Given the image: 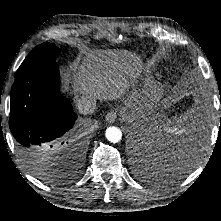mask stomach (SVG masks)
Instances as JSON below:
<instances>
[{
    "label": "stomach",
    "instance_id": "obj_1",
    "mask_svg": "<svg viewBox=\"0 0 221 221\" xmlns=\"http://www.w3.org/2000/svg\"><path fill=\"white\" fill-rule=\"evenodd\" d=\"M157 155H158V159H160V158H161V157H160V153H158Z\"/></svg>",
    "mask_w": 221,
    "mask_h": 221
}]
</instances>
